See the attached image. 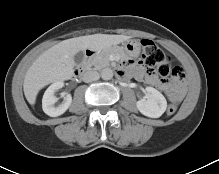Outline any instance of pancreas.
Instances as JSON below:
<instances>
[{"mask_svg": "<svg viewBox=\"0 0 219 174\" xmlns=\"http://www.w3.org/2000/svg\"><path fill=\"white\" fill-rule=\"evenodd\" d=\"M116 50H105L102 51L101 53L91 57L90 59L87 60V66L91 67L93 66L94 69H101L103 67L109 66L110 65V61H109V56L111 54H117L119 56H121L123 54V52L119 51V53H116Z\"/></svg>", "mask_w": 219, "mask_h": 174, "instance_id": "1", "label": "pancreas"}]
</instances>
